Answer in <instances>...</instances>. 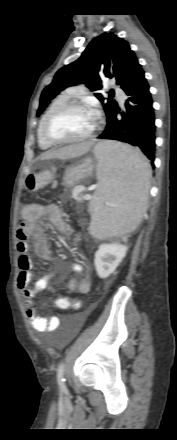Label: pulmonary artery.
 I'll list each match as a JSON object with an SVG mask.
<instances>
[{
	"label": "pulmonary artery",
	"instance_id": "1",
	"mask_svg": "<svg viewBox=\"0 0 177 440\" xmlns=\"http://www.w3.org/2000/svg\"><path fill=\"white\" fill-rule=\"evenodd\" d=\"M115 91L118 94L120 102L123 103L124 102V94H123V92L119 88H115ZM82 93H83V89H71L69 91V94H71V95H79V94H82Z\"/></svg>",
	"mask_w": 177,
	"mask_h": 440
}]
</instances>
